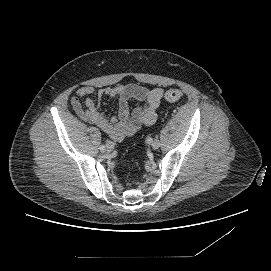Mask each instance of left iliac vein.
<instances>
[{"mask_svg":"<svg viewBox=\"0 0 271 271\" xmlns=\"http://www.w3.org/2000/svg\"><path fill=\"white\" fill-rule=\"evenodd\" d=\"M151 146L153 149H158L160 147V141L159 140L153 141Z\"/></svg>","mask_w":271,"mask_h":271,"instance_id":"left-iliac-vein-1","label":"left iliac vein"}]
</instances>
